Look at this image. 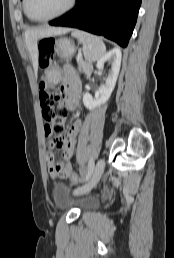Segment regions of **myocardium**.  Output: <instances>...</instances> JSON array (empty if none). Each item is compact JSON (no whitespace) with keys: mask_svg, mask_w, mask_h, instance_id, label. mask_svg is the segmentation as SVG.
Returning <instances> with one entry per match:
<instances>
[{"mask_svg":"<svg viewBox=\"0 0 174 258\" xmlns=\"http://www.w3.org/2000/svg\"><path fill=\"white\" fill-rule=\"evenodd\" d=\"M28 1L29 0H24V11L31 20L36 21V22H47V21H51L56 18H59L65 14H67L74 7V5L76 3V0H69L67 6L64 9H62L61 11H59L58 13L48 16V17H45V18H35V17L31 16V14L29 13Z\"/></svg>","mask_w":174,"mask_h":258,"instance_id":"f54148a6","label":"myocardium"}]
</instances>
